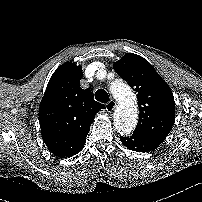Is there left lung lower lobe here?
Here are the masks:
<instances>
[{
    "label": "left lung lower lobe",
    "mask_w": 202,
    "mask_h": 202,
    "mask_svg": "<svg viewBox=\"0 0 202 202\" xmlns=\"http://www.w3.org/2000/svg\"><path fill=\"white\" fill-rule=\"evenodd\" d=\"M120 140L128 149L137 152H149L157 148L164 140L161 138L133 134L129 137L120 136Z\"/></svg>",
    "instance_id": "1"
}]
</instances>
